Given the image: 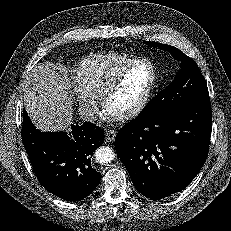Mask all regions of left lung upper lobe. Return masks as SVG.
Instances as JSON below:
<instances>
[{"label":"left lung upper lobe","mask_w":231,"mask_h":231,"mask_svg":"<svg viewBox=\"0 0 231 231\" xmlns=\"http://www.w3.org/2000/svg\"><path fill=\"white\" fill-rule=\"evenodd\" d=\"M146 43L168 51L181 62V66L172 83L159 92L138 117L152 119L191 103L210 102L206 80L193 59L173 46L157 42Z\"/></svg>","instance_id":"left-lung-upper-lobe-1"}]
</instances>
